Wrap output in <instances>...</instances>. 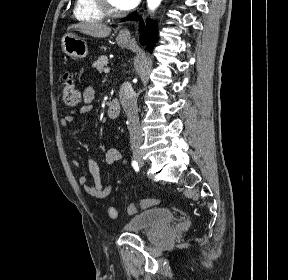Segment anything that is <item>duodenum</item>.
I'll return each mask as SVG.
<instances>
[{"mask_svg":"<svg viewBox=\"0 0 288 280\" xmlns=\"http://www.w3.org/2000/svg\"><path fill=\"white\" fill-rule=\"evenodd\" d=\"M121 112V106L118 100H112L107 108V115L110 119H116L119 117Z\"/></svg>","mask_w":288,"mask_h":280,"instance_id":"obj_1","label":"duodenum"}]
</instances>
